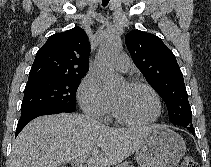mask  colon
I'll return each instance as SVG.
<instances>
[{
    "label": "colon",
    "mask_w": 211,
    "mask_h": 167,
    "mask_svg": "<svg viewBox=\"0 0 211 167\" xmlns=\"http://www.w3.org/2000/svg\"><path fill=\"white\" fill-rule=\"evenodd\" d=\"M178 167H198V165L191 155H186L182 158Z\"/></svg>",
    "instance_id": "5ec220e1"
}]
</instances>
